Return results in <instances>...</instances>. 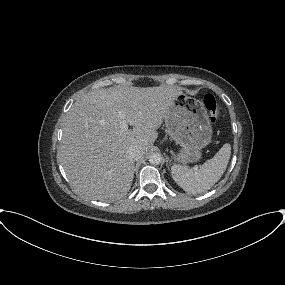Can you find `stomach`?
Returning <instances> with one entry per match:
<instances>
[{
	"label": "stomach",
	"instance_id": "0dacf381",
	"mask_svg": "<svg viewBox=\"0 0 285 285\" xmlns=\"http://www.w3.org/2000/svg\"><path fill=\"white\" fill-rule=\"evenodd\" d=\"M165 125L168 134L181 147L174 157L184 165L199 161L201 150L212 137V127L203 103L181 93L173 100Z\"/></svg>",
	"mask_w": 285,
	"mask_h": 285
}]
</instances>
